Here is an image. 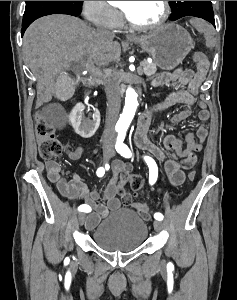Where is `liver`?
Wrapping results in <instances>:
<instances>
[{
  "label": "liver",
  "mask_w": 237,
  "mask_h": 300,
  "mask_svg": "<svg viewBox=\"0 0 237 300\" xmlns=\"http://www.w3.org/2000/svg\"><path fill=\"white\" fill-rule=\"evenodd\" d=\"M23 51L31 71L37 75V93H53V79L72 69L84 55L98 67L119 61L121 47L112 39H100L96 31L77 17L48 15L34 21L23 37ZM91 69V65H85Z\"/></svg>",
  "instance_id": "obj_1"
}]
</instances>
